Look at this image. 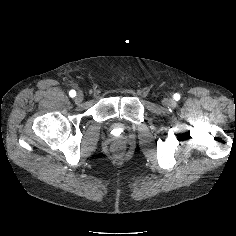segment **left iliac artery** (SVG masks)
Listing matches in <instances>:
<instances>
[{
    "label": "left iliac artery",
    "mask_w": 236,
    "mask_h": 236,
    "mask_svg": "<svg viewBox=\"0 0 236 236\" xmlns=\"http://www.w3.org/2000/svg\"><path fill=\"white\" fill-rule=\"evenodd\" d=\"M174 99L178 101L180 99V95L178 93L174 94Z\"/></svg>",
    "instance_id": "1"
}]
</instances>
